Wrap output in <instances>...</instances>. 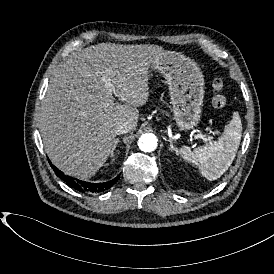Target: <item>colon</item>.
<instances>
[{"label": "colon", "mask_w": 274, "mask_h": 274, "mask_svg": "<svg viewBox=\"0 0 274 274\" xmlns=\"http://www.w3.org/2000/svg\"><path fill=\"white\" fill-rule=\"evenodd\" d=\"M213 86L215 92L213 96V105L216 108H222L226 104V96L223 92V86L218 81H216Z\"/></svg>", "instance_id": "obj_1"}]
</instances>
